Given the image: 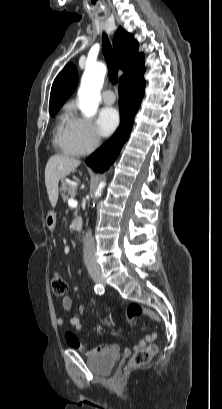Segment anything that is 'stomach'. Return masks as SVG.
Returning a JSON list of instances; mask_svg holds the SVG:
<instances>
[{
    "label": "stomach",
    "mask_w": 222,
    "mask_h": 409,
    "mask_svg": "<svg viewBox=\"0 0 222 409\" xmlns=\"http://www.w3.org/2000/svg\"><path fill=\"white\" fill-rule=\"evenodd\" d=\"M46 224H47V227L50 229V230H53L54 228H55V225H56V215L53 213V214H49L48 216H47V218H46Z\"/></svg>",
    "instance_id": "stomach-1"
}]
</instances>
